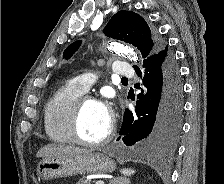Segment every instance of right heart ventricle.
<instances>
[{
	"label": "right heart ventricle",
	"mask_w": 224,
	"mask_h": 184,
	"mask_svg": "<svg viewBox=\"0 0 224 184\" xmlns=\"http://www.w3.org/2000/svg\"><path fill=\"white\" fill-rule=\"evenodd\" d=\"M83 92L72 83L60 87L45 107L44 126L48 138L59 144L73 142L69 133V120L77 99Z\"/></svg>",
	"instance_id": "1"
}]
</instances>
